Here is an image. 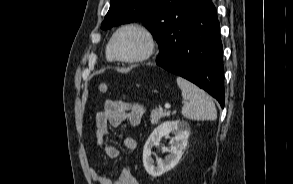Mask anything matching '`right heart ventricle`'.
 I'll return each instance as SVG.
<instances>
[{"mask_svg": "<svg viewBox=\"0 0 293 184\" xmlns=\"http://www.w3.org/2000/svg\"><path fill=\"white\" fill-rule=\"evenodd\" d=\"M106 57H107V59L110 60V61L113 60V58H112V56H111V54H110V52H109L108 46H107V49H106Z\"/></svg>", "mask_w": 293, "mask_h": 184, "instance_id": "right-heart-ventricle-1", "label": "right heart ventricle"}]
</instances>
